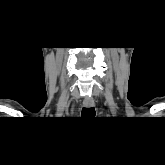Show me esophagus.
<instances>
[{
    "instance_id": "34e87169",
    "label": "esophagus",
    "mask_w": 165,
    "mask_h": 165,
    "mask_svg": "<svg viewBox=\"0 0 165 165\" xmlns=\"http://www.w3.org/2000/svg\"><path fill=\"white\" fill-rule=\"evenodd\" d=\"M83 105L87 108L93 107L94 106V100L93 99H85L83 101Z\"/></svg>"
}]
</instances>
